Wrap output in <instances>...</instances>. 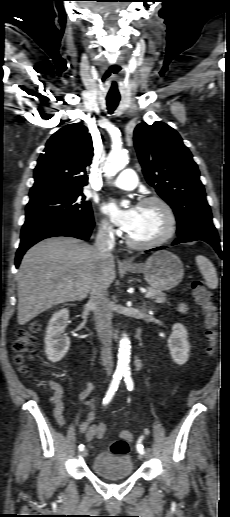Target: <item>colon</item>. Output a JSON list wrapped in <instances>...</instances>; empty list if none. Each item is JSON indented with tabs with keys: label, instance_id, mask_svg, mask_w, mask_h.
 Returning a JSON list of instances; mask_svg holds the SVG:
<instances>
[{
	"label": "colon",
	"instance_id": "1",
	"mask_svg": "<svg viewBox=\"0 0 230 517\" xmlns=\"http://www.w3.org/2000/svg\"><path fill=\"white\" fill-rule=\"evenodd\" d=\"M192 292L196 303L201 307L203 313L204 324L206 328V337L208 340V353L214 354L217 344V326L218 311L212 301V297L205 285L195 280L192 282ZM39 322H33L27 328H21L16 333V340L13 344L15 351L14 361L23 373L28 372L27 360L34 349L37 334L40 331ZM111 452L117 455H125L129 452V439L121 437L114 441L111 445Z\"/></svg>",
	"mask_w": 230,
	"mask_h": 517
}]
</instances>
